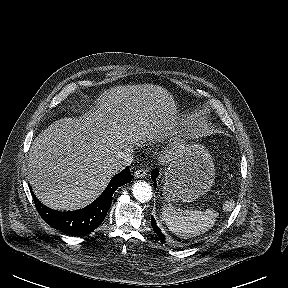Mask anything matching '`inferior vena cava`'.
Wrapping results in <instances>:
<instances>
[{
	"instance_id": "obj_1",
	"label": "inferior vena cava",
	"mask_w": 288,
	"mask_h": 288,
	"mask_svg": "<svg viewBox=\"0 0 288 288\" xmlns=\"http://www.w3.org/2000/svg\"><path fill=\"white\" fill-rule=\"evenodd\" d=\"M133 161V157L128 153L119 154L110 164V170L117 173L120 170L129 166Z\"/></svg>"
}]
</instances>
